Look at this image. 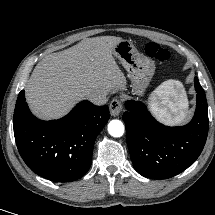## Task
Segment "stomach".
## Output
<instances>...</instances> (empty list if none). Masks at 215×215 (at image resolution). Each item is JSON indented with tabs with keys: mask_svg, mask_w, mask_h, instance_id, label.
Instances as JSON below:
<instances>
[{
	"mask_svg": "<svg viewBox=\"0 0 215 215\" xmlns=\"http://www.w3.org/2000/svg\"><path fill=\"white\" fill-rule=\"evenodd\" d=\"M113 55L126 69L131 80L132 93L142 95L154 75V62L140 54L133 43L128 40L120 41L114 47ZM171 114L174 116L173 113Z\"/></svg>",
	"mask_w": 215,
	"mask_h": 215,
	"instance_id": "1",
	"label": "stomach"
}]
</instances>
